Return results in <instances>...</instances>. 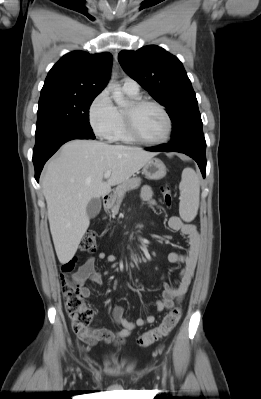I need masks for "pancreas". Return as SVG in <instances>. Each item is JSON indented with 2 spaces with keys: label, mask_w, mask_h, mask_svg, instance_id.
<instances>
[{
  "label": "pancreas",
  "mask_w": 261,
  "mask_h": 399,
  "mask_svg": "<svg viewBox=\"0 0 261 399\" xmlns=\"http://www.w3.org/2000/svg\"><path fill=\"white\" fill-rule=\"evenodd\" d=\"M141 184V178L139 177H133L131 179H128L127 181L121 183L115 190V204L112 205L111 211L113 214H117L119 212V208L121 205V202L126 194L127 191L136 189L140 186Z\"/></svg>",
  "instance_id": "pancreas-1"
}]
</instances>
